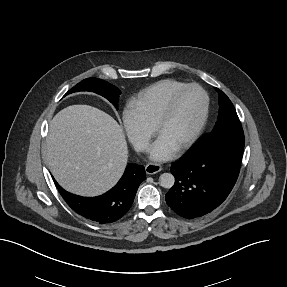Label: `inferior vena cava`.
I'll use <instances>...</instances> for the list:
<instances>
[{
    "label": "inferior vena cava",
    "mask_w": 287,
    "mask_h": 287,
    "mask_svg": "<svg viewBox=\"0 0 287 287\" xmlns=\"http://www.w3.org/2000/svg\"><path fill=\"white\" fill-rule=\"evenodd\" d=\"M145 149H146V148H145V146H143V145L136 147V150H137V151H143V150H145Z\"/></svg>",
    "instance_id": "obj_1"
}]
</instances>
